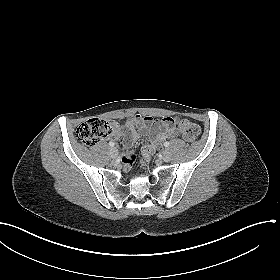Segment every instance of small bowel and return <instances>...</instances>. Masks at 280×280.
<instances>
[{
	"label": "small bowel",
	"mask_w": 280,
	"mask_h": 280,
	"mask_svg": "<svg viewBox=\"0 0 280 280\" xmlns=\"http://www.w3.org/2000/svg\"><path fill=\"white\" fill-rule=\"evenodd\" d=\"M175 120L170 117L161 120H155L149 115H136L126 122L127 136L125 137V146L130 147L139 137L137 128L147 131L153 127L161 129L147 145H151L154 149L159 147L161 143L169 138L176 137L180 132L174 126ZM118 136V135H117Z\"/></svg>",
	"instance_id": "small-bowel-1"
}]
</instances>
